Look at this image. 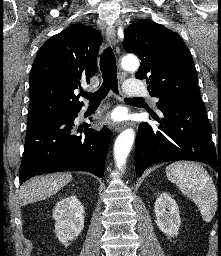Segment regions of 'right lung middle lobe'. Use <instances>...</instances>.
<instances>
[{"label": "right lung middle lobe", "mask_w": 221, "mask_h": 256, "mask_svg": "<svg viewBox=\"0 0 221 256\" xmlns=\"http://www.w3.org/2000/svg\"><path fill=\"white\" fill-rule=\"evenodd\" d=\"M57 116H61V115H57ZM50 118H53V117H50L49 114H36L34 116L28 117V128L35 126L41 122H44Z\"/></svg>", "instance_id": "right-lung-middle-lobe-1"}]
</instances>
